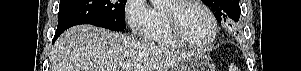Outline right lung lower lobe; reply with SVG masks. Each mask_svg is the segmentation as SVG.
Masks as SVG:
<instances>
[{
  "mask_svg": "<svg viewBox=\"0 0 301 71\" xmlns=\"http://www.w3.org/2000/svg\"><path fill=\"white\" fill-rule=\"evenodd\" d=\"M64 31L63 30H58L57 29V31H56V33H55V36H54V38H53V42H55V40L59 37V35L61 34V33H63Z\"/></svg>",
  "mask_w": 301,
  "mask_h": 71,
  "instance_id": "98d812e1",
  "label": "right lung lower lobe"
}]
</instances>
